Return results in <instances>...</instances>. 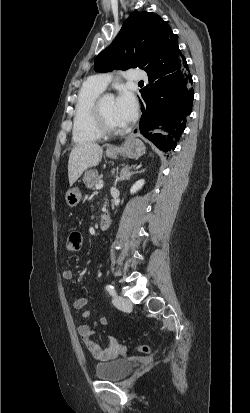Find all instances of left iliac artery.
<instances>
[{"instance_id": "left-iliac-artery-1", "label": "left iliac artery", "mask_w": 250, "mask_h": 413, "mask_svg": "<svg viewBox=\"0 0 250 413\" xmlns=\"http://www.w3.org/2000/svg\"><path fill=\"white\" fill-rule=\"evenodd\" d=\"M106 290L108 291V293L112 296H116V291L114 289V287L112 285H106Z\"/></svg>"}]
</instances>
